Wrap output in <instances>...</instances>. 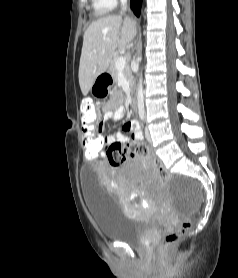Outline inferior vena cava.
I'll return each instance as SVG.
<instances>
[{
  "mask_svg": "<svg viewBox=\"0 0 238 278\" xmlns=\"http://www.w3.org/2000/svg\"><path fill=\"white\" fill-rule=\"evenodd\" d=\"M121 4L123 6V10H126V4H127V0H120Z\"/></svg>",
  "mask_w": 238,
  "mask_h": 278,
  "instance_id": "602c4592",
  "label": "inferior vena cava"
}]
</instances>
